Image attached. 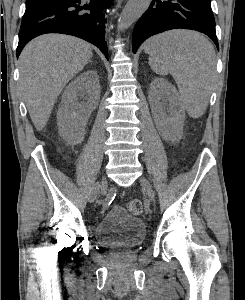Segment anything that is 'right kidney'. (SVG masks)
<instances>
[{
	"label": "right kidney",
	"mask_w": 245,
	"mask_h": 300,
	"mask_svg": "<svg viewBox=\"0 0 245 300\" xmlns=\"http://www.w3.org/2000/svg\"><path fill=\"white\" fill-rule=\"evenodd\" d=\"M78 97L85 101L79 103ZM100 100L98 74L89 70L76 77L65 89L57 112L60 136L70 144L84 139L86 123Z\"/></svg>",
	"instance_id": "ca27d5eb"
}]
</instances>
